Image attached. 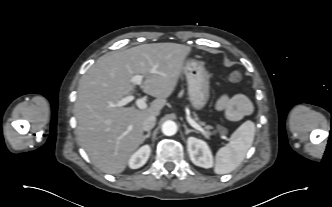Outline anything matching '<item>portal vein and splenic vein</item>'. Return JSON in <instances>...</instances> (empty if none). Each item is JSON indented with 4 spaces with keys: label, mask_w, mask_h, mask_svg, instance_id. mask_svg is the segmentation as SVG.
Here are the masks:
<instances>
[{
    "label": "portal vein and splenic vein",
    "mask_w": 332,
    "mask_h": 207,
    "mask_svg": "<svg viewBox=\"0 0 332 207\" xmlns=\"http://www.w3.org/2000/svg\"><path fill=\"white\" fill-rule=\"evenodd\" d=\"M131 81L140 86L142 84V81H143V76L142 75H134L132 77ZM133 100H135L136 105L138 106V108L145 109L147 107L146 102L142 98H136L133 95H128V96L122 98L114 106L123 107V106L127 105L128 103L132 102ZM187 121L189 122V124L193 128L197 129L198 131L202 132L203 134H206V131L204 130V128H202L193 119H191L190 117H187Z\"/></svg>",
    "instance_id": "portal-vein-and-splenic-vein-1"
}]
</instances>
